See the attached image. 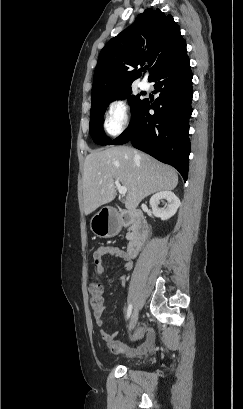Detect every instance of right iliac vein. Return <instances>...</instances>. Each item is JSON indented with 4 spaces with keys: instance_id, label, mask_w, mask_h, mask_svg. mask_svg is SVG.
<instances>
[{
    "instance_id": "1",
    "label": "right iliac vein",
    "mask_w": 243,
    "mask_h": 409,
    "mask_svg": "<svg viewBox=\"0 0 243 409\" xmlns=\"http://www.w3.org/2000/svg\"><path fill=\"white\" fill-rule=\"evenodd\" d=\"M138 314H139L138 308H134L132 315H131L130 323L128 326L129 332L133 331V329L135 328L137 321H138Z\"/></svg>"
}]
</instances>
